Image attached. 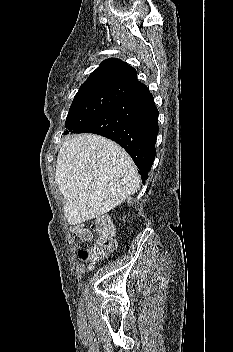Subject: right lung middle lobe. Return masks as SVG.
Masks as SVG:
<instances>
[{
	"label": "right lung middle lobe",
	"instance_id": "obj_1",
	"mask_svg": "<svg viewBox=\"0 0 233 352\" xmlns=\"http://www.w3.org/2000/svg\"><path fill=\"white\" fill-rule=\"evenodd\" d=\"M138 93L135 89L117 85L80 88L74 97L65 122L71 132L106 110Z\"/></svg>",
	"mask_w": 233,
	"mask_h": 352
}]
</instances>
